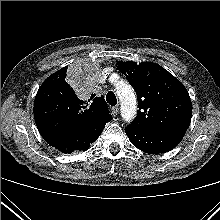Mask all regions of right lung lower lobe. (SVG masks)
<instances>
[{
    "instance_id": "right-lung-lower-lobe-1",
    "label": "right lung lower lobe",
    "mask_w": 220,
    "mask_h": 220,
    "mask_svg": "<svg viewBox=\"0 0 220 220\" xmlns=\"http://www.w3.org/2000/svg\"><path fill=\"white\" fill-rule=\"evenodd\" d=\"M109 121L102 119L83 131L55 140H46V142L65 154L81 150L85 151L89 148L90 143L94 142L100 136L105 124Z\"/></svg>"
}]
</instances>
